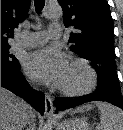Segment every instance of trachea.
<instances>
[{
	"label": "trachea",
	"mask_w": 123,
	"mask_h": 130,
	"mask_svg": "<svg viewBox=\"0 0 123 130\" xmlns=\"http://www.w3.org/2000/svg\"><path fill=\"white\" fill-rule=\"evenodd\" d=\"M34 5H35L36 11L39 13L44 8L45 0H34Z\"/></svg>",
	"instance_id": "1"
}]
</instances>
